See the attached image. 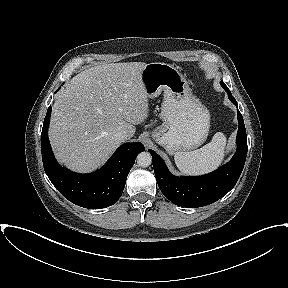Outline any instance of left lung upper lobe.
I'll use <instances>...</instances> for the list:
<instances>
[{
    "label": "left lung upper lobe",
    "instance_id": "left-lung-upper-lobe-1",
    "mask_svg": "<svg viewBox=\"0 0 288 288\" xmlns=\"http://www.w3.org/2000/svg\"><path fill=\"white\" fill-rule=\"evenodd\" d=\"M220 84H221V86H222L224 89L228 88V87L223 83V81H221Z\"/></svg>",
    "mask_w": 288,
    "mask_h": 288
}]
</instances>
